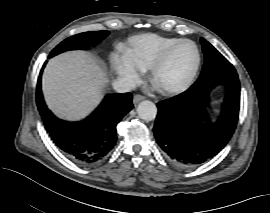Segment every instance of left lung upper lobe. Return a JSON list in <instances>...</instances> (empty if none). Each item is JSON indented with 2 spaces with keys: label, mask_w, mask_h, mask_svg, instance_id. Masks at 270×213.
I'll use <instances>...</instances> for the list:
<instances>
[{
  "label": "left lung upper lobe",
  "mask_w": 270,
  "mask_h": 213,
  "mask_svg": "<svg viewBox=\"0 0 270 213\" xmlns=\"http://www.w3.org/2000/svg\"><path fill=\"white\" fill-rule=\"evenodd\" d=\"M202 50L205 55V63L202 68V72L198 80L191 86L196 87L211 79L217 77L218 75L234 69L232 64L220 54L209 42L201 38Z\"/></svg>",
  "instance_id": "1"
}]
</instances>
